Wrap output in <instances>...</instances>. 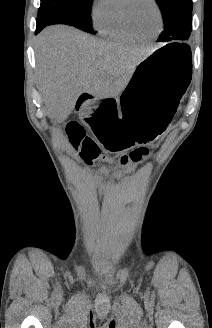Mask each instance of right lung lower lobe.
<instances>
[{"label": "right lung lower lobe", "instance_id": "98d812e1", "mask_svg": "<svg viewBox=\"0 0 212 328\" xmlns=\"http://www.w3.org/2000/svg\"><path fill=\"white\" fill-rule=\"evenodd\" d=\"M45 26L43 24H37V28L35 31V34H37L38 32H40Z\"/></svg>", "mask_w": 212, "mask_h": 328}]
</instances>
